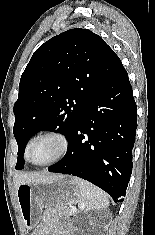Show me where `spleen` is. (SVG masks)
I'll list each match as a JSON object with an SVG mask.
<instances>
[{
	"label": "spleen",
	"instance_id": "spleen-1",
	"mask_svg": "<svg viewBox=\"0 0 155 235\" xmlns=\"http://www.w3.org/2000/svg\"><path fill=\"white\" fill-rule=\"evenodd\" d=\"M78 186L83 204L87 210H100L109 206V199L105 192L93 184L77 177H73Z\"/></svg>",
	"mask_w": 155,
	"mask_h": 235
}]
</instances>
